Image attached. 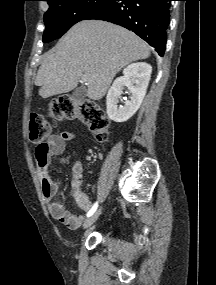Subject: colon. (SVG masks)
I'll return each mask as SVG.
<instances>
[{
    "label": "colon",
    "mask_w": 216,
    "mask_h": 285,
    "mask_svg": "<svg viewBox=\"0 0 216 285\" xmlns=\"http://www.w3.org/2000/svg\"><path fill=\"white\" fill-rule=\"evenodd\" d=\"M48 112L54 120L81 119L100 142L106 141L108 138L109 119L104 110L92 100L75 101L71 97L62 96L49 104ZM49 135L50 127L46 118L40 113H31L30 140L36 143L38 148L45 149Z\"/></svg>",
    "instance_id": "1"
}]
</instances>
